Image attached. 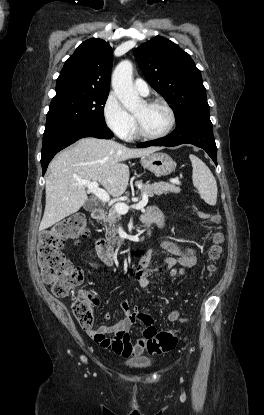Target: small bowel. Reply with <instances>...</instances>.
Segmentation results:
<instances>
[{"label": "small bowel", "mask_w": 264, "mask_h": 415, "mask_svg": "<svg viewBox=\"0 0 264 415\" xmlns=\"http://www.w3.org/2000/svg\"><path fill=\"white\" fill-rule=\"evenodd\" d=\"M142 218H145L147 223H154L160 228L164 227V215L156 207H148L142 214ZM161 245L167 251L182 256L183 260L189 265H193L197 261V257L192 249L181 247L165 235L161 238ZM175 264L176 259L173 257L158 259L153 251H147L134 267L139 286L143 289L154 286L156 283L155 276L159 271H169ZM95 269H99L100 273L104 276L108 275V272L101 269L97 262H92L90 270ZM119 302L125 316L113 325L102 324L96 329L87 330V334L94 339L95 344L99 347L113 350L124 357L141 358L145 343L141 340L132 343L129 339L128 332L137 315L141 312L142 307L141 305L131 307L124 299H121ZM110 317L111 315L109 313L105 314V318L109 319ZM176 317V312H173L170 316L172 320H175ZM147 325L157 331L151 321Z\"/></svg>", "instance_id": "c3829d8e"}]
</instances>
